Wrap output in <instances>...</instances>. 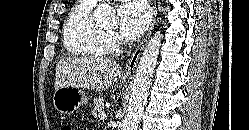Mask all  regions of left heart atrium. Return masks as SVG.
Masks as SVG:
<instances>
[{"instance_id":"1","label":"left heart atrium","mask_w":249,"mask_h":130,"mask_svg":"<svg viewBox=\"0 0 249 130\" xmlns=\"http://www.w3.org/2000/svg\"><path fill=\"white\" fill-rule=\"evenodd\" d=\"M121 34L129 39L139 38L150 23V11L142 0L126 2L119 9Z\"/></svg>"}]
</instances>
